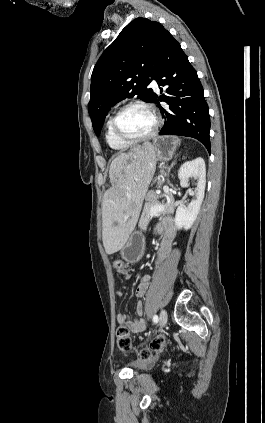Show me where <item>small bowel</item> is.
<instances>
[{"mask_svg": "<svg viewBox=\"0 0 265 423\" xmlns=\"http://www.w3.org/2000/svg\"><path fill=\"white\" fill-rule=\"evenodd\" d=\"M159 234L162 235V240L160 243V247L158 250V256L156 263H161L165 258L169 256L171 253L172 247L175 242L176 237V226L172 218L167 217L164 218L156 227ZM121 274L126 280H129L130 273L124 267L121 271L118 272ZM150 278L148 276H142L139 279L138 285L136 287L135 293L138 298H142L146 295V292L149 287ZM121 296V293H118ZM144 313V306L142 302H138L136 305V314L138 315L137 318H129L126 314H118L117 315V322L119 324H126L131 332L133 333H140L146 328V323L141 316Z\"/></svg>", "mask_w": 265, "mask_h": 423, "instance_id": "obj_1", "label": "small bowel"}]
</instances>
